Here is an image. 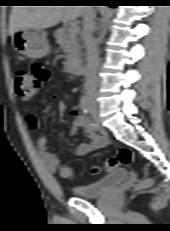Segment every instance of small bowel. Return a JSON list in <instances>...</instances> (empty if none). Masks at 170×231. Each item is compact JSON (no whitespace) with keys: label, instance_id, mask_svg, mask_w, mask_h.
Masks as SVG:
<instances>
[{"label":"small bowel","instance_id":"small-bowel-1","mask_svg":"<svg viewBox=\"0 0 170 231\" xmlns=\"http://www.w3.org/2000/svg\"><path fill=\"white\" fill-rule=\"evenodd\" d=\"M31 75L37 80L38 84L40 82L47 81L49 79L48 72L43 63L34 62L30 67ZM71 115L73 116V125L71 129V134L74 135L78 130L83 131L84 135L90 140L89 142H84L79 144L75 149L74 153L77 156H84L89 152L103 148L107 141L104 137L97 134L92 130L80 113L78 107H74L71 110ZM26 123L29 128L37 130L40 126L39 120L34 114H28L26 116ZM36 147L40 161L51 172H54L59 167L60 161L58 157L50 152L47 148V139L45 136H40L36 141Z\"/></svg>","mask_w":170,"mask_h":231}]
</instances>
